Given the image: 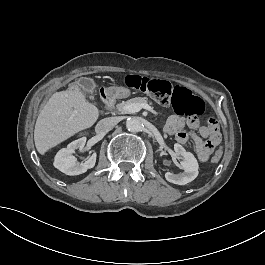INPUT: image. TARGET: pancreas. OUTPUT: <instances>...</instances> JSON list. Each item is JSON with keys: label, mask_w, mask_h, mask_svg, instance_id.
<instances>
[{"label": "pancreas", "mask_w": 265, "mask_h": 265, "mask_svg": "<svg viewBox=\"0 0 265 265\" xmlns=\"http://www.w3.org/2000/svg\"><path fill=\"white\" fill-rule=\"evenodd\" d=\"M148 103V98L147 97H135L127 101H123L119 104L116 105V108L118 111L124 113V106L129 105V104H147ZM150 104H152L150 102Z\"/></svg>", "instance_id": "obj_1"}]
</instances>
